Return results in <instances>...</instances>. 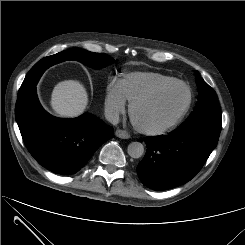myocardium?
Masks as SVG:
<instances>
[{
	"instance_id": "myocardium-1",
	"label": "myocardium",
	"mask_w": 245,
	"mask_h": 245,
	"mask_svg": "<svg viewBox=\"0 0 245 245\" xmlns=\"http://www.w3.org/2000/svg\"><path fill=\"white\" fill-rule=\"evenodd\" d=\"M173 85H182L187 89V92H188L187 102H186L184 108L182 109V111L179 113V115L172 122H170L167 125L160 127V128H146V127L141 126L135 119L136 109L140 105L153 100L154 98L159 96L162 92H164L166 89H168L169 87H171ZM192 101H193V94H192V90H191L190 86L181 80L174 79V80L169 81L167 83H164V84L154 88L153 90L149 91L148 93L136 98L130 104L129 114H130V118H131L133 126L139 132L146 134V135H150V136H160V135L167 134L170 131L174 130L183 121V119L185 118V116L187 115V113L189 112V110L191 108Z\"/></svg>"
}]
</instances>
